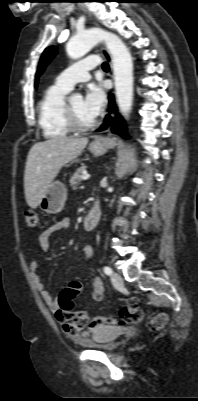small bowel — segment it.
Wrapping results in <instances>:
<instances>
[{
  "label": "small bowel",
  "mask_w": 198,
  "mask_h": 401,
  "mask_svg": "<svg viewBox=\"0 0 198 401\" xmlns=\"http://www.w3.org/2000/svg\"><path fill=\"white\" fill-rule=\"evenodd\" d=\"M70 226L68 219H62L47 227L41 232L38 238V246L43 252H47L49 249V238L58 232L66 231ZM83 252L88 261L92 258V250L89 246L83 248ZM30 272L33 280L35 281L36 287L41 294L43 300L48 305L49 309L53 312L56 320L62 325L64 333L72 338L73 340L81 343L88 341L90 336L95 337L99 330L104 326L98 325L95 321H90L86 326L81 327L78 323L77 316L72 315L68 312L63 311L58 304V301L53 298L50 292L45 288L38 274V262L36 260L30 263ZM76 283L75 294L82 290V285L79 282ZM76 296V295H75ZM92 300L100 302L104 298V286L99 277H95L92 285Z\"/></svg>",
  "instance_id": "c3829d8e"
}]
</instances>
